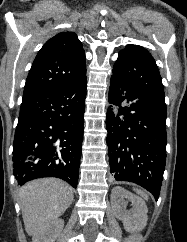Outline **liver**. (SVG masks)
Here are the masks:
<instances>
[{
	"mask_svg": "<svg viewBox=\"0 0 187 242\" xmlns=\"http://www.w3.org/2000/svg\"><path fill=\"white\" fill-rule=\"evenodd\" d=\"M19 196L25 230L34 237L68 209L73 190L61 180L45 178L26 183Z\"/></svg>",
	"mask_w": 187,
	"mask_h": 242,
	"instance_id": "obj_1",
	"label": "liver"
}]
</instances>
